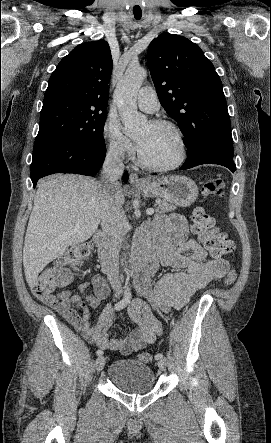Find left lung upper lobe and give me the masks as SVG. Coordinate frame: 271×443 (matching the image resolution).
I'll return each mask as SVG.
<instances>
[{"mask_svg":"<svg viewBox=\"0 0 271 443\" xmlns=\"http://www.w3.org/2000/svg\"><path fill=\"white\" fill-rule=\"evenodd\" d=\"M147 64L159 101L179 124L188 153L208 138L232 140L222 82L197 44L163 33L150 43Z\"/></svg>","mask_w":271,"mask_h":443,"instance_id":"1","label":"left lung upper lobe"}]
</instances>
